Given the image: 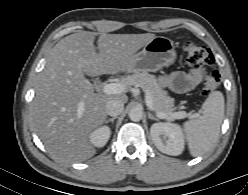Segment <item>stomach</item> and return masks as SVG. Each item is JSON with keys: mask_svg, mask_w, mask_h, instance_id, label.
I'll return each instance as SVG.
<instances>
[{"mask_svg": "<svg viewBox=\"0 0 248 195\" xmlns=\"http://www.w3.org/2000/svg\"><path fill=\"white\" fill-rule=\"evenodd\" d=\"M177 54L171 39L158 36L149 41L144 48L137 53L126 68L127 72H156L163 67L173 64Z\"/></svg>", "mask_w": 248, "mask_h": 195, "instance_id": "obj_1", "label": "stomach"}]
</instances>
